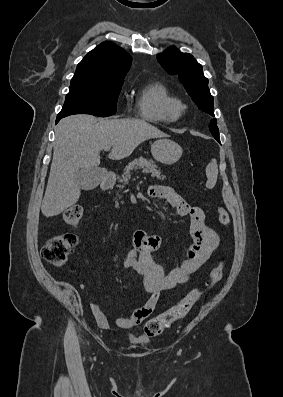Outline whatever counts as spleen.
I'll use <instances>...</instances> for the list:
<instances>
[{
  "label": "spleen",
  "instance_id": "spleen-1",
  "mask_svg": "<svg viewBox=\"0 0 283 397\" xmlns=\"http://www.w3.org/2000/svg\"><path fill=\"white\" fill-rule=\"evenodd\" d=\"M207 183L209 188H213L217 182L218 177V165L216 159H212L206 167Z\"/></svg>",
  "mask_w": 283,
  "mask_h": 397
}]
</instances>
